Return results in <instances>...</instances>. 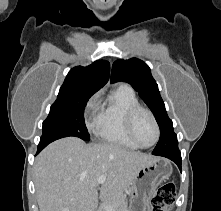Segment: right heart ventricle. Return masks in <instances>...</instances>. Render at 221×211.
<instances>
[{
    "label": "right heart ventricle",
    "instance_id": "right-heart-ventricle-1",
    "mask_svg": "<svg viewBox=\"0 0 221 211\" xmlns=\"http://www.w3.org/2000/svg\"><path fill=\"white\" fill-rule=\"evenodd\" d=\"M140 105L134 90L125 84L113 89L103 102L98 114V137L110 144L128 149L139 148L127 135L125 116L127 111Z\"/></svg>",
    "mask_w": 221,
    "mask_h": 211
}]
</instances>
